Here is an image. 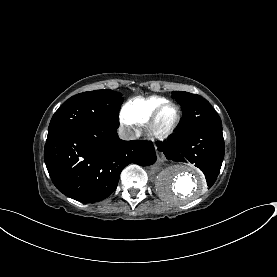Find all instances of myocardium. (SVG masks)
Returning a JSON list of instances; mask_svg holds the SVG:
<instances>
[{"mask_svg": "<svg viewBox=\"0 0 277 277\" xmlns=\"http://www.w3.org/2000/svg\"><path fill=\"white\" fill-rule=\"evenodd\" d=\"M168 106H174L176 108V119L174 123L165 131H161L157 128L158 120L161 112ZM181 121V109L178 104L172 101H165L158 105L155 110L152 112L150 118L146 122L145 128L148 133V136L153 140H164L171 136Z\"/></svg>", "mask_w": 277, "mask_h": 277, "instance_id": "myocardium-1", "label": "myocardium"}]
</instances>
